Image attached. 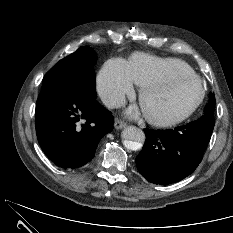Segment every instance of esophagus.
Returning a JSON list of instances; mask_svg holds the SVG:
<instances>
[{"instance_id":"esophagus-1","label":"esophagus","mask_w":233,"mask_h":233,"mask_svg":"<svg viewBox=\"0 0 233 233\" xmlns=\"http://www.w3.org/2000/svg\"><path fill=\"white\" fill-rule=\"evenodd\" d=\"M126 126V123L119 118H116L114 121V127L116 129H122Z\"/></svg>"}]
</instances>
